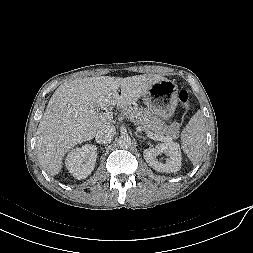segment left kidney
Wrapping results in <instances>:
<instances>
[{
    "label": "left kidney",
    "instance_id": "1",
    "mask_svg": "<svg viewBox=\"0 0 253 253\" xmlns=\"http://www.w3.org/2000/svg\"><path fill=\"white\" fill-rule=\"evenodd\" d=\"M161 153L168 156L166 163L157 159V156ZM143 156L148 165L158 172L173 173L181 168V151L179 144L176 142H165L156 145L155 148H147L144 150Z\"/></svg>",
    "mask_w": 253,
    "mask_h": 253
}]
</instances>
